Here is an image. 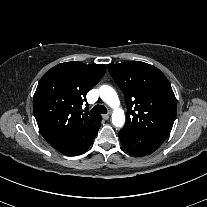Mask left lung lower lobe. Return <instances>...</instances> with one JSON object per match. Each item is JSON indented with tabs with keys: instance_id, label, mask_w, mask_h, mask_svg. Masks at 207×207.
I'll return each instance as SVG.
<instances>
[{
	"instance_id": "obj_1",
	"label": "left lung lower lobe",
	"mask_w": 207,
	"mask_h": 207,
	"mask_svg": "<svg viewBox=\"0 0 207 207\" xmlns=\"http://www.w3.org/2000/svg\"><path fill=\"white\" fill-rule=\"evenodd\" d=\"M124 149L133 156H144L154 152L164 142L163 140L139 135L127 129L118 133Z\"/></svg>"
}]
</instances>
